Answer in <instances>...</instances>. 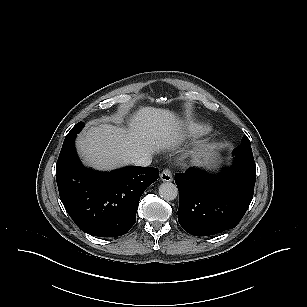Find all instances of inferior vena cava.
<instances>
[{
    "label": "inferior vena cava",
    "instance_id": "602c4592",
    "mask_svg": "<svg viewBox=\"0 0 307 307\" xmlns=\"http://www.w3.org/2000/svg\"><path fill=\"white\" fill-rule=\"evenodd\" d=\"M151 162H152L151 157H141V158L135 159L133 161V164L137 166H149Z\"/></svg>",
    "mask_w": 307,
    "mask_h": 307
}]
</instances>
